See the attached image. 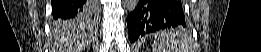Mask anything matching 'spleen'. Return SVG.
Returning <instances> with one entry per match:
<instances>
[{"instance_id":"spleen-1","label":"spleen","mask_w":261,"mask_h":52,"mask_svg":"<svg viewBox=\"0 0 261 52\" xmlns=\"http://www.w3.org/2000/svg\"><path fill=\"white\" fill-rule=\"evenodd\" d=\"M183 46V35L181 30L171 29L154 34V52H180Z\"/></svg>"}]
</instances>
